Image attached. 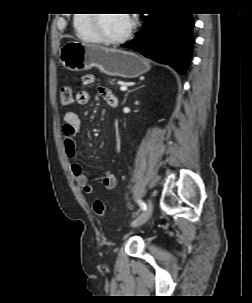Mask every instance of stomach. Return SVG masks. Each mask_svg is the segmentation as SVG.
Segmentation results:
<instances>
[{
    "label": "stomach",
    "instance_id": "0dacf381",
    "mask_svg": "<svg viewBox=\"0 0 252 303\" xmlns=\"http://www.w3.org/2000/svg\"><path fill=\"white\" fill-rule=\"evenodd\" d=\"M59 59L72 71L97 67L106 75L128 79L136 78L150 70L149 62L133 52L75 40L62 46Z\"/></svg>",
    "mask_w": 252,
    "mask_h": 303
}]
</instances>
